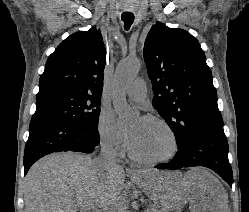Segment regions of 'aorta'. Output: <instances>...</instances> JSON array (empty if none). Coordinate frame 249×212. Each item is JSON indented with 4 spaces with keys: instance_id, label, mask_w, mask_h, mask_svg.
Instances as JSON below:
<instances>
[{
    "instance_id": "1",
    "label": "aorta",
    "mask_w": 249,
    "mask_h": 212,
    "mask_svg": "<svg viewBox=\"0 0 249 212\" xmlns=\"http://www.w3.org/2000/svg\"><path fill=\"white\" fill-rule=\"evenodd\" d=\"M139 69L140 61L138 59L122 60L116 67L112 101L114 109L122 121H127L137 116V111L131 108L126 101L125 90L134 81Z\"/></svg>"
}]
</instances>
